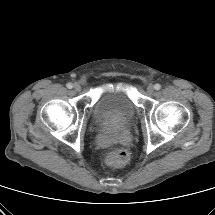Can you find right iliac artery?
I'll list each match as a JSON object with an SVG mask.
<instances>
[{
	"label": "right iliac artery",
	"instance_id": "obj_1",
	"mask_svg": "<svg viewBox=\"0 0 215 215\" xmlns=\"http://www.w3.org/2000/svg\"><path fill=\"white\" fill-rule=\"evenodd\" d=\"M66 86L68 89H71L73 87L72 83H68Z\"/></svg>",
	"mask_w": 215,
	"mask_h": 215
}]
</instances>
